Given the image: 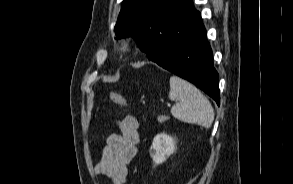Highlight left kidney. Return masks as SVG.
Wrapping results in <instances>:
<instances>
[{"label":"left kidney","mask_w":293,"mask_h":184,"mask_svg":"<svg viewBox=\"0 0 293 184\" xmlns=\"http://www.w3.org/2000/svg\"><path fill=\"white\" fill-rule=\"evenodd\" d=\"M175 150V140L171 136L161 133L155 136L150 148V155L155 164H161L166 161Z\"/></svg>","instance_id":"left-kidney-1"}]
</instances>
